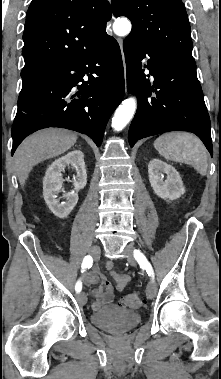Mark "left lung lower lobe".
<instances>
[{"label": "left lung lower lobe", "mask_w": 221, "mask_h": 379, "mask_svg": "<svg viewBox=\"0 0 221 379\" xmlns=\"http://www.w3.org/2000/svg\"><path fill=\"white\" fill-rule=\"evenodd\" d=\"M123 50L128 92L138 98V110L129 128L130 146L148 136L181 130L196 134L212 155L210 119L196 65L167 57L130 34ZM146 57L149 60L144 68L154 77L153 83L146 79L141 64Z\"/></svg>", "instance_id": "left-lung-lower-lobe-1"}]
</instances>
